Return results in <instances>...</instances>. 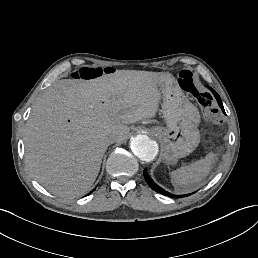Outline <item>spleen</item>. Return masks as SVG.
<instances>
[{
	"mask_svg": "<svg viewBox=\"0 0 258 258\" xmlns=\"http://www.w3.org/2000/svg\"><path fill=\"white\" fill-rule=\"evenodd\" d=\"M215 154L209 153L204 159L195 161L171 172V182L176 192H190L210 172Z\"/></svg>",
	"mask_w": 258,
	"mask_h": 258,
	"instance_id": "spleen-1",
	"label": "spleen"
}]
</instances>
